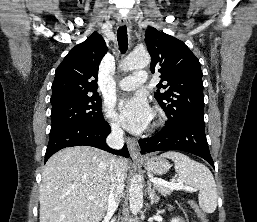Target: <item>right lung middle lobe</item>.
<instances>
[{"label":"right lung middle lobe","instance_id":"right-lung-middle-lobe-1","mask_svg":"<svg viewBox=\"0 0 257 222\" xmlns=\"http://www.w3.org/2000/svg\"><path fill=\"white\" fill-rule=\"evenodd\" d=\"M51 130L66 125H98L104 122L98 95L51 100Z\"/></svg>","mask_w":257,"mask_h":222}]
</instances>
